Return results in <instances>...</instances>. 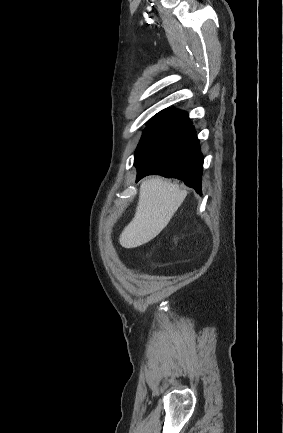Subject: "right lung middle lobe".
<instances>
[{"label":"right lung middle lobe","instance_id":"obj_1","mask_svg":"<svg viewBox=\"0 0 283 433\" xmlns=\"http://www.w3.org/2000/svg\"><path fill=\"white\" fill-rule=\"evenodd\" d=\"M160 116V114H157L156 116L153 117V119L150 121V123L155 120L156 118H158Z\"/></svg>","mask_w":283,"mask_h":433}]
</instances>
